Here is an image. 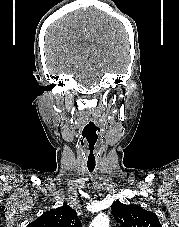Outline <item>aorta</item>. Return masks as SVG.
<instances>
[{
  "label": "aorta",
  "mask_w": 179,
  "mask_h": 227,
  "mask_svg": "<svg viewBox=\"0 0 179 227\" xmlns=\"http://www.w3.org/2000/svg\"><path fill=\"white\" fill-rule=\"evenodd\" d=\"M90 227H109V218L103 214H98L90 224Z\"/></svg>",
  "instance_id": "obj_1"
}]
</instances>
